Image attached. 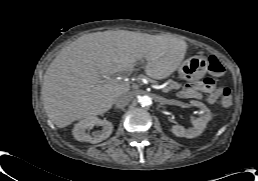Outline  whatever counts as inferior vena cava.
<instances>
[{"instance_id": "1", "label": "inferior vena cava", "mask_w": 258, "mask_h": 181, "mask_svg": "<svg viewBox=\"0 0 258 181\" xmlns=\"http://www.w3.org/2000/svg\"><path fill=\"white\" fill-rule=\"evenodd\" d=\"M132 99V95L130 93L120 94L115 98L114 104L116 108L125 107Z\"/></svg>"}]
</instances>
